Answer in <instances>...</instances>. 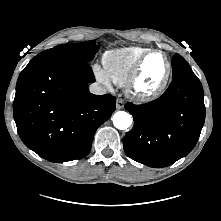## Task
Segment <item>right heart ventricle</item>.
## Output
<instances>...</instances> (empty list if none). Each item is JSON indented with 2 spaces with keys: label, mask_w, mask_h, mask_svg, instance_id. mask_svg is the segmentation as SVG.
<instances>
[{
  "label": "right heart ventricle",
  "mask_w": 221,
  "mask_h": 221,
  "mask_svg": "<svg viewBox=\"0 0 221 221\" xmlns=\"http://www.w3.org/2000/svg\"><path fill=\"white\" fill-rule=\"evenodd\" d=\"M148 50L142 46H128L105 51L102 63L109 79L118 86L126 85L135 64Z\"/></svg>",
  "instance_id": "right-heart-ventricle-1"
}]
</instances>
